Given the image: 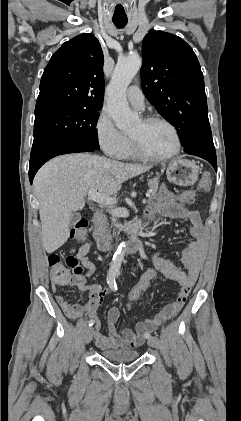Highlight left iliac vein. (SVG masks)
I'll list each match as a JSON object with an SVG mask.
<instances>
[{"mask_svg":"<svg viewBox=\"0 0 241 421\" xmlns=\"http://www.w3.org/2000/svg\"><path fill=\"white\" fill-rule=\"evenodd\" d=\"M148 345L153 348L159 347V339L157 337H151L148 339Z\"/></svg>","mask_w":241,"mask_h":421,"instance_id":"1","label":"left iliac vein"}]
</instances>
